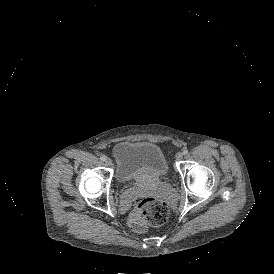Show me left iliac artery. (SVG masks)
Instances as JSON below:
<instances>
[{
	"mask_svg": "<svg viewBox=\"0 0 274 274\" xmlns=\"http://www.w3.org/2000/svg\"><path fill=\"white\" fill-rule=\"evenodd\" d=\"M183 154L187 155L188 154V150L187 149H183Z\"/></svg>",
	"mask_w": 274,
	"mask_h": 274,
	"instance_id": "1",
	"label": "left iliac artery"
}]
</instances>
